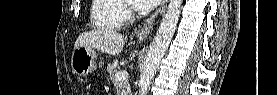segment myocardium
I'll use <instances>...</instances> for the list:
<instances>
[{
  "mask_svg": "<svg viewBox=\"0 0 277 95\" xmlns=\"http://www.w3.org/2000/svg\"><path fill=\"white\" fill-rule=\"evenodd\" d=\"M125 8L129 13L137 14L140 12V10L136 7L133 0H125Z\"/></svg>",
  "mask_w": 277,
  "mask_h": 95,
  "instance_id": "obj_1",
  "label": "myocardium"
}]
</instances>
